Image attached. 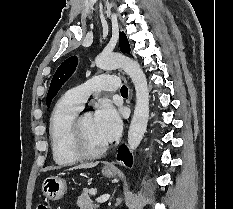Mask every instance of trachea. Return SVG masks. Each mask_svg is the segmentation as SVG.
<instances>
[{
    "label": "trachea",
    "mask_w": 233,
    "mask_h": 209,
    "mask_svg": "<svg viewBox=\"0 0 233 209\" xmlns=\"http://www.w3.org/2000/svg\"><path fill=\"white\" fill-rule=\"evenodd\" d=\"M120 91L122 95H128V88L125 85L121 87Z\"/></svg>",
    "instance_id": "trachea-1"
}]
</instances>
